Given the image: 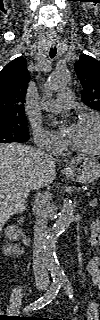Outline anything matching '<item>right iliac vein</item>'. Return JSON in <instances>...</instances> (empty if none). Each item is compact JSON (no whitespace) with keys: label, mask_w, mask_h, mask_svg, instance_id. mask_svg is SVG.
Segmentation results:
<instances>
[{"label":"right iliac vein","mask_w":100,"mask_h":320,"mask_svg":"<svg viewBox=\"0 0 100 320\" xmlns=\"http://www.w3.org/2000/svg\"><path fill=\"white\" fill-rule=\"evenodd\" d=\"M37 289H38L39 291H43V290L46 289V286H45L44 284H38Z\"/></svg>","instance_id":"1"}]
</instances>
